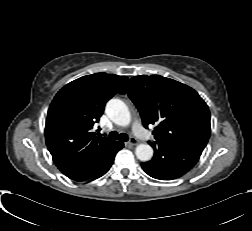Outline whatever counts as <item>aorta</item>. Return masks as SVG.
Returning <instances> with one entry per match:
<instances>
[{
  "label": "aorta",
  "instance_id": "762f6f07",
  "mask_svg": "<svg viewBox=\"0 0 252 231\" xmlns=\"http://www.w3.org/2000/svg\"><path fill=\"white\" fill-rule=\"evenodd\" d=\"M106 114L112 122L119 126H128L131 115L126 104L120 99H111L106 105ZM136 157L143 162L149 161L153 156V149L148 144H139L135 149Z\"/></svg>",
  "mask_w": 252,
  "mask_h": 231
}]
</instances>
